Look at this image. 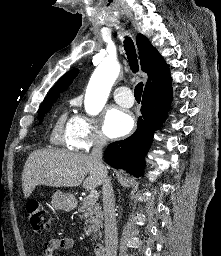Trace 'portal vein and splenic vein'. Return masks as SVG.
Instances as JSON below:
<instances>
[{
	"label": "portal vein and splenic vein",
	"mask_w": 221,
	"mask_h": 256,
	"mask_svg": "<svg viewBox=\"0 0 221 256\" xmlns=\"http://www.w3.org/2000/svg\"><path fill=\"white\" fill-rule=\"evenodd\" d=\"M89 197L94 200V201H97L98 197H99V194L96 190L94 189H91L90 191V194H89Z\"/></svg>",
	"instance_id": "obj_1"
}]
</instances>
